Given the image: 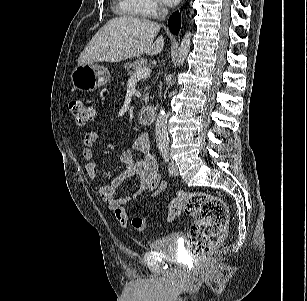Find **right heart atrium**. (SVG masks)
I'll return each mask as SVG.
<instances>
[{
    "label": "right heart atrium",
    "instance_id": "1",
    "mask_svg": "<svg viewBox=\"0 0 307 301\" xmlns=\"http://www.w3.org/2000/svg\"><path fill=\"white\" fill-rule=\"evenodd\" d=\"M140 9L143 16L154 18L162 11L158 0H140Z\"/></svg>",
    "mask_w": 307,
    "mask_h": 301
}]
</instances>
